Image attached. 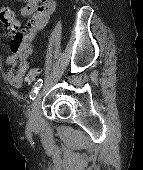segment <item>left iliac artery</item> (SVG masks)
Segmentation results:
<instances>
[{"label": "left iliac artery", "mask_w": 143, "mask_h": 170, "mask_svg": "<svg viewBox=\"0 0 143 170\" xmlns=\"http://www.w3.org/2000/svg\"><path fill=\"white\" fill-rule=\"evenodd\" d=\"M43 85V80L42 79H39L35 85H34V88L33 90L31 91V94H30V99L34 100L35 99V96L38 94V91L40 90V88L42 87Z\"/></svg>", "instance_id": "44dca946"}]
</instances>
